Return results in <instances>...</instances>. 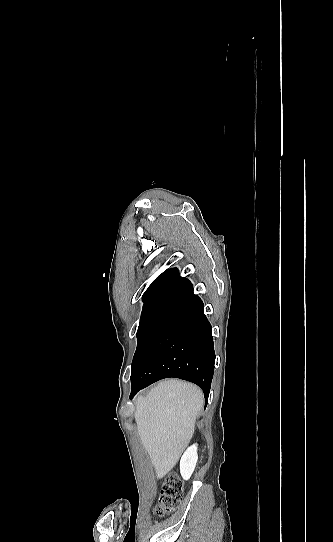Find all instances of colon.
<instances>
[{
	"label": "colon",
	"instance_id": "5ec220e1",
	"mask_svg": "<svg viewBox=\"0 0 333 542\" xmlns=\"http://www.w3.org/2000/svg\"><path fill=\"white\" fill-rule=\"evenodd\" d=\"M182 498L183 491L180 480L174 474L167 475L156 512L163 515L178 508Z\"/></svg>",
	"mask_w": 333,
	"mask_h": 542
}]
</instances>
